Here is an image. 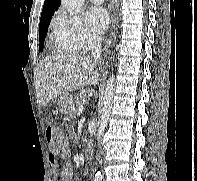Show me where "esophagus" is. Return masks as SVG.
I'll return each mask as SVG.
<instances>
[{"label":"esophagus","mask_w":197,"mask_h":181,"mask_svg":"<svg viewBox=\"0 0 197 181\" xmlns=\"http://www.w3.org/2000/svg\"><path fill=\"white\" fill-rule=\"evenodd\" d=\"M115 4H116V8H117L118 7V0H115ZM116 8L114 10V19H113V24H112V30H111L110 36L108 38V41H107V46L108 47L112 43V40H113V38L115 36L116 27H117Z\"/></svg>","instance_id":"34e87169"}]
</instances>
